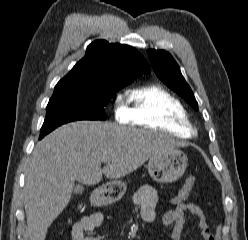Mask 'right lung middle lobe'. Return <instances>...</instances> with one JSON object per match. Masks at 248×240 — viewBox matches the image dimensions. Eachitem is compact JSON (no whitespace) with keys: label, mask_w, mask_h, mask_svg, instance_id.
Instances as JSON below:
<instances>
[{"label":"right lung middle lobe","mask_w":248,"mask_h":240,"mask_svg":"<svg viewBox=\"0 0 248 240\" xmlns=\"http://www.w3.org/2000/svg\"><path fill=\"white\" fill-rule=\"evenodd\" d=\"M116 88H63L54 90L46 107L40 134H48L58 126L77 120H106L104 107Z\"/></svg>","instance_id":"obj_1"}]
</instances>
